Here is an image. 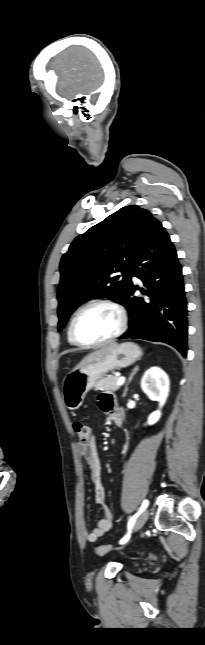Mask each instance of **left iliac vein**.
<instances>
[{
	"label": "left iliac vein",
	"mask_w": 205,
	"mask_h": 645,
	"mask_svg": "<svg viewBox=\"0 0 205 645\" xmlns=\"http://www.w3.org/2000/svg\"><path fill=\"white\" fill-rule=\"evenodd\" d=\"M148 517H149V511H148V509H145L141 513V515L139 516L137 521L135 522V524L133 526V532L138 531L146 523Z\"/></svg>",
	"instance_id": "obj_1"
}]
</instances>
